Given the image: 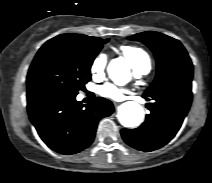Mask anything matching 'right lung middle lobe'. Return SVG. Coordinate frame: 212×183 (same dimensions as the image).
<instances>
[{
    "label": "right lung middle lobe",
    "instance_id": "right-lung-middle-lobe-1",
    "mask_svg": "<svg viewBox=\"0 0 212 183\" xmlns=\"http://www.w3.org/2000/svg\"><path fill=\"white\" fill-rule=\"evenodd\" d=\"M109 39L54 37L36 54L28 75L27 93L60 91L77 95L91 79L90 68Z\"/></svg>",
    "mask_w": 212,
    "mask_h": 183
}]
</instances>
